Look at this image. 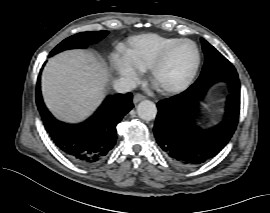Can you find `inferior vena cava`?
Instances as JSON below:
<instances>
[{
    "mask_svg": "<svg viewBox=\"0 0 270 213\" xmlns=\"http://www.w3.org/2000/svg\"><path fill=\"white\" fill-rule=\"evenodd\" d=\"M113 88L118 93H127L136 88V83L127 78H120L113 82Z\"/></svg>",
    "mask_w": 270,
    "mask_h": 213,
    "instance_id": "inferior-vena-cava-1",
    "label": "inferior vena cava"
}]
</instances>
